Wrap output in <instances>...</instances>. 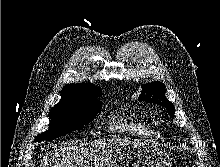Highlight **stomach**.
I'll list each match as a JSON object with an SVG mask.
<instances>
[{
  "mask_svg": "<svg viewBox=\"0 0 220 167\" xmlns=\"http://www.w3.org/2000/svg\"><path fill=\"white\" fill-rule=\"evenodd\" d=\"M113 167H171V163L156 144L143 142L123 147Z\"/></svg>",
  "mask_w": 220,
  "mask_h": 167,
  "instance_id": "obj_1",
  "label": "stomach"
}]
</instances>
